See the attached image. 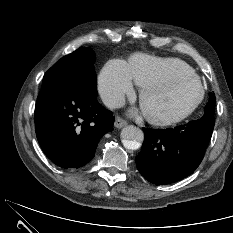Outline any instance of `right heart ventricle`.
<instances>
[{"mask_svg":"<svg viewBox=\"0 0 233 233\" xmlns=\"http://www.w3.org/2000/svg\"><path fill=\"white\" fill-rule=\"evenodd\" d=\"M127 68L132 81L139 87L165 77L194 73L192 67L180 59L141 53L131 56Z\"/></svg>","mask_w":233,"mask_h":233,"instance_id":"obj_1","label":"right heart ventricle"}]
</instances>
